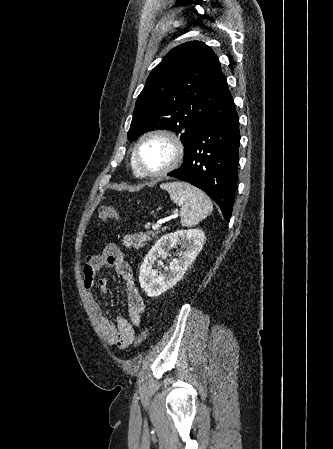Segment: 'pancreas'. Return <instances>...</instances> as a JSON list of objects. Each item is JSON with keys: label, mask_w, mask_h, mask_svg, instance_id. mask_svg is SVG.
Returning <instances> with one entry per match:
<instances>
[{"label": "pancreas", "mask_w": 333, "mask_h": 449, "mask_svg": "<svg viewBox=\"0 0 333 449\" xmlns=\"http://www.w3.org/2000/svg\"><path fill=\"white\" fill-rule=\"evenodd\" d=\"M156 233L150 232H139L136 235H127L124 237V245L126 247H133L135 249L142 248L151 240V236H155Z\"/></svg>", "instance_id": "pancreas-1"}]
</instances>
